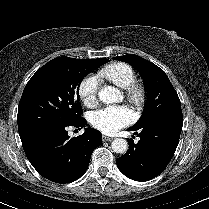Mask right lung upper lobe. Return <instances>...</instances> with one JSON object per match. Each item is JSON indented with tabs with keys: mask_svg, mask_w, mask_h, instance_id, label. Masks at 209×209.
I'll return each instance as SVG.
<instances>
[{
	"mask_svg": "<svg viewBox=\"0 0 209 209\" xmlns=\"http://www.w3.org/2000/svg\"><path fill=\"white\" fill-rule=\"evenodd\" d=\"M109 60L108 59H104V58H98V59H91L89 60L90 63H92L94 66L99 67L102 64L107 63Z\"/></svg>",
	"mask_w": 209,
	"mask_h": 209,
	"instance_id": "1",
	"label": "right lung upper lobe"
}]
</instances>
